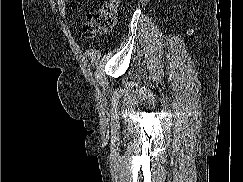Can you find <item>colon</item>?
I'll return each instance as SVG.
<instances>
[{
  "label": "colon",
  "instance_id": "5ec220e1",
  "mask_svg": "<svg viewBox=\"0 0 243 182\" xmlns=\"http://www.w3.org/2000/svg\"><path fill=\"white\" fill-rule=\"evenodd\" d=\"M120 0H106L99 8L87 13L83 32L86 37H94L109 31L116 22Z\"/></svg>",
  "mask_w": 243,
  "mask_h": 182
}]
</instances>
